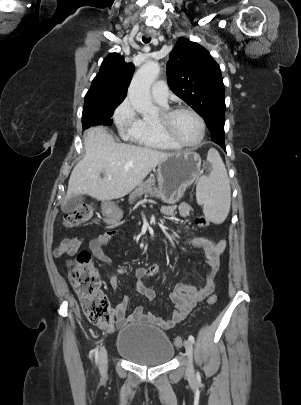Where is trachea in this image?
I'll return each instance as SVG.
<instances>
[{"instance_id":"3493384b","label":"trachea","mask_w":301,"mask_h":405,"mask_svg":"<svg viewBox=\"0 0 301 405\" xmlns=\"http://www.w3.org/2000/svg\"><path fill=\"white\" fill-rule=\"evenodd\" d=\"M142 41H143L144 43H149V42L151 41V38L143 37V38H142Z\"/></svg>"}]
</instances>
